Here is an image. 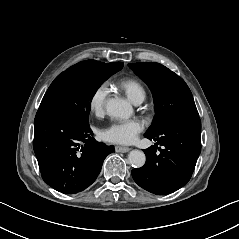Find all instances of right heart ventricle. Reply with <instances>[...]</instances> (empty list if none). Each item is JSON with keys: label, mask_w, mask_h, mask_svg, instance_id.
<instances>
[{"label": "right heart ventricle", "mask_w": 239, "mask_h": 239, "mask_svg": "<svg viewBox=\"0 0 239 239\" xmlns=\"http://www.w3.org/2000/svg\"><path fill=\"white\" fill-rule=\"evenodd\" d=\"M123 87L129 96L135 101L138 98H145L146 92L143 86L135 80H125Z\"/></svg>", "instance_id": "right-heart-ventricle-1"}]
</instances>
